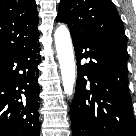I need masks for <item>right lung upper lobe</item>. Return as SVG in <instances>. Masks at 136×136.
<instances>
[{"instance_id":"cb5924a9","label":"right lung upper lobe","mask_w":136,"mask_h":136,"mask_svg":"<svg viewBox=\"0 0 136 136\" xmlns=\"http://www.w3.org/2000/svg\"><path fill=\"white\" fill-rule=\"evenodd\" d=\"M34 0H0V54L30 43L39 32Z\"/></svg>"}]
</instances>
